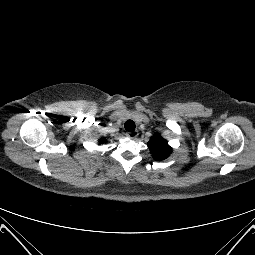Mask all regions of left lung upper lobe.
Instances as JSON below:
<instances>
[{
	"label": "left lung upper lobe",
	"instance_id": "left-lung-upper-lobe-1",
	"mask_svg": "<svg viewBox=\"0 0 255 255\" xmlns=\"http://www.w3.org/2000/svg\"><path fill=\"white\" fill-rule=\"evenodd\" d=\"M149 149L152 152V157L156 161L166 159L172 152V148L168 145L167 140L159 134L154 135L148 142Z\"/></svg>",
	"mask_w": 255,
	"mask_h": 255
}]
</instances>
